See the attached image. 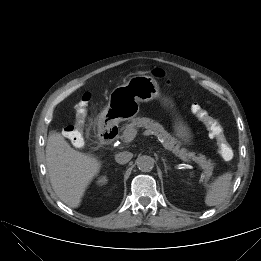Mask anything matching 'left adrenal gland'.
<instances>
[{
  "label": "left adrenal gland",
  "instance_id": "left-adrenal-gland-1",
  "mask_svg": "<svg viewBox=\"0 0 261 261\" xmlns=\"http://www.w3.org/2000/svg\"><path fill=\"white\" fill-rule=\"evenodd\" d=\"M161 159H162L163 164H164L165 172L168 173V166H167V164H166V159H164L163 157H162Z\"/></svg>",
  "mask_w": 261,
  "mask_h": 261
}]
</instances>
